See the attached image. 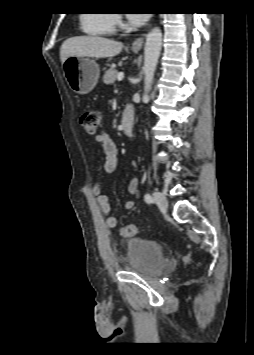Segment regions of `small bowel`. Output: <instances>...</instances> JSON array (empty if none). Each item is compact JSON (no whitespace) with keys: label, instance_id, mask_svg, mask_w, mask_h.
I'll list each match as a JSON object with an SVG mask.
<instances>
[{"label":"small bowel","instance_id":"1","mask_svg":"<svg viewBox=\"0 0 254 355\" xmlns=\"http://www.w3.org/2000/svg\"><path fill=\"white\" fill-rule=\"evenodd\" d=\"M130 108V107H129ZM133 111V110H132ZM96 143L100 145L102 151L105 155V161L103 164L104 172L107 174H112L118 165V147L115 141L109 136L105 131H101L95 139ZM93 163L96 164V158H93ZM138 189V178L134 176L129 185L128 192L134 195ZM92 194L96 197L98 206L101 212L105 216V223L109 228H115L118 224V220L115 216L111 215V205L109 198L103 194L102 187L100 184H94L91 188ZM134 207V202L132 200H127L125 202L126 209H132Z\"/></svg>","mask_w":254,"mask_h":355}]
</instances>
